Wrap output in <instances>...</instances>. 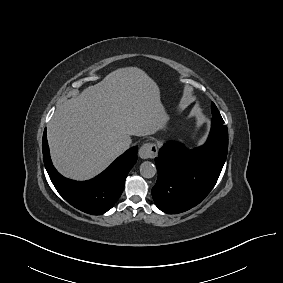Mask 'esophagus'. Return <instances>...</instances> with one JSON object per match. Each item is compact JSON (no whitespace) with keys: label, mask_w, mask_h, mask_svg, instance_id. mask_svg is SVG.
Listing matches in <instances>:
<instances>
[{"label":"esophagus","mask_w":283,"mask_h":283,"mask_svg":"<svg viewBox=\"0 0 283 283\" xmlns=\"http://www.w3.org/2000/svg\"><path fill=\"white\" fill-rule=\"evenodd\" d=\"M158 148L154 143H145L139 149V156L142 159L154 158L157 156Z\"/></svg>","instance_id":"1"}]
</instances>
